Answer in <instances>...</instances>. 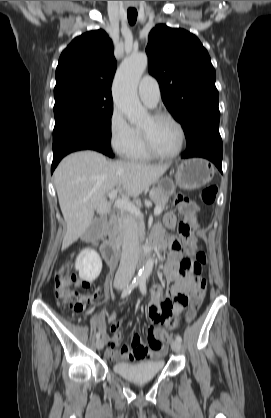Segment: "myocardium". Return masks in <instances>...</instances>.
Here are the masks:
<instances>
[{"label": "myocardium", "mask_w": 271, "mask_h": 418, "mask_svg": "<svg viewBox=\"0 0 271 418\" xmlns=\"http://www.w3.org/2000/svg\"><path fill=\"white\" fill-rule=\"evenodd\" d=\"M153 120H159V119H167L169 121H171L178 129L179 134H180V142H179V146L178 148L170 154H162L160 152H158L152 145V142L150 140V136L148 134V132L145 129H140L141 130V135H142V139H143V143L145 146L146 151L148 152V154L151 157L157 158V159H173L175 157H177L183 150L185 142H186V133L185 130L182 126V124L171 114L167 113V112H163V111H157L151 114L150 116Z\"/></svg>", "instance_id": "f54148a6"}]
</instances>
